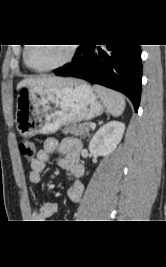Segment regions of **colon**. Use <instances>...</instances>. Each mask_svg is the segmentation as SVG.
Listing matches in <instances>:
<instances>
[{
	"instance_id": "colon-1",
	"label": "colon",
	"mask_w": 166,
	"mask_h": 267,
	"mask_svg": "<svg viewBox=\"0 0 166 267\" xmlns=\"http://www.w3.org/2000/svg\"><path fill=\"white\" fill-rule=\"evenodd\" d=\"M20 154L27 160H33L35 157L36 147L34 142L29 140H22L19 143Z\"/></svg>"
}]
</instances>
